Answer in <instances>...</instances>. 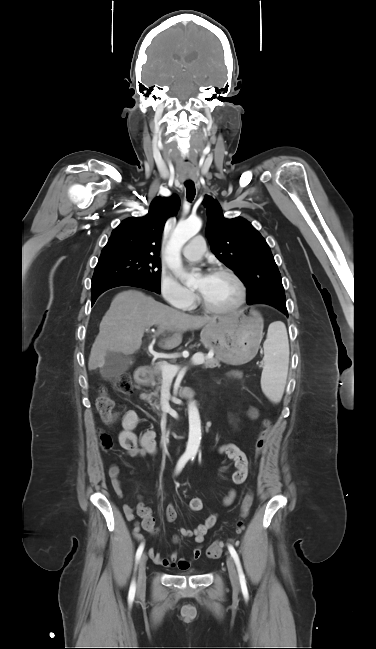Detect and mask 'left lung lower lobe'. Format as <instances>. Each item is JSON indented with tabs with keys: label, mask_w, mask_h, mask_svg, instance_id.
Wrapping results in <instances>:
<instances>
[{
	"label": "left lung lower lobe",
	"mask_w": 376,
	"mask_h": 649,
	"mask_svg": "<svg viewBox=\"0 0 376 649\" xmlns=\"http://www.w3.org/2000/svg\"><path fill=\"white\" fill-rule=\"evenodd\" d=\"M274 307L277 308L278 310H280L281 312H283L286 316H288V312H287L286 307L280 306L278 304H275Z\"/></svg>",
	"instance_id": "left-lung-lower-lobe-1"
}]
</instances>
